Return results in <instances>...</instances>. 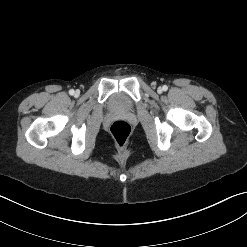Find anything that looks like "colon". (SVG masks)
<instances>
[{
    "label": "colon",
    "mask_w": 247,
    "mask_h": 247,
    "mask_svg": "<svg viewBox=\"0 0 247 247\" xmlns=\"http://www.w3.org/2000/svg\"><path fill=\"white\" fill-rule=\"evenodd\" d=\"M110 133L119 146H124L131 135V126L126 121L118 120L110 126Z\"/></svg>",
    "instance_id": "5ec220e1"
}]
</instances>
